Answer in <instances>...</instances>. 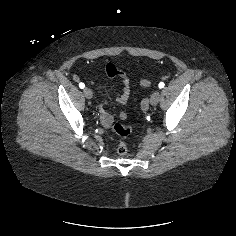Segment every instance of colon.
I'll return each instance as SVG.
<instances>
[{
  "label": "colon",
  "mask_w": 236,
  "mask_h": 236,
  "mask_svg": "<svg viewBox=\"0 0 236 236\" xmlns=\"http://www.w3.org/2000/svg\"><path fill=\"white\" fill-rule=\"evenodd\" d=\"M150 84H151V81L148 80V79H143L140 82V85L144 88L149 87ZM142 107L144 109L147 108V101L146 100H144L142 102ZM113 130L117 135H119L122 138L128 137L132 132V128L130 126L123 125V124H120V123L114 124L113 125ZM117 152L120 155H125L128 152L127 144L123 140L119 142L118 147H117Z\"/></svg>",
  "instance_id": "1"
}]
</instances>
